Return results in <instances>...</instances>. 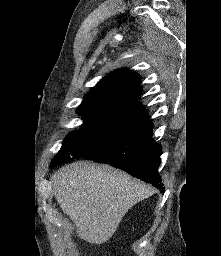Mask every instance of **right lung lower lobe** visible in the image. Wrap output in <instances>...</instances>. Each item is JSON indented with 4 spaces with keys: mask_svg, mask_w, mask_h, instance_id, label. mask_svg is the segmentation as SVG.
Listing matches in <instances>:
<instances>
[{
    "mask_svg": "<svg viewBox=\"0 0 221 256\" xmlns=\"http://www.w3.org/2000/svg\"><path fill=\"white\" fill-rule=\"evenodd\" d=\"M152 128L153 123L147 121L100 145L83 158L120 168L164 192L157 172L161 146L153 141Z\"/></svg>",
    "mask_w": 221,
    "mask_h": 256,
    "instance_id": "98d812e1",
    "label": "right lung lower lobe"
}]
</instances>
